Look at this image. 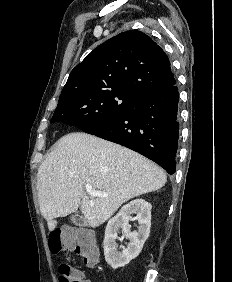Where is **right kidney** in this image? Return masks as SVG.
<instances>
[{"instance_id": "obj_1", "label": "right kidney", "mask_w": 232, "mask_h": 282, "mask_svg": "<svg viewBox=\"0 0 232 282\" xmlns=\"http://www.w3.org/2000/svg\"><path fill=\"white\" fill-rule=\"evenodd\" d=\"M151 208V204L144 199H135L124 205L117 215L108 221L103 241L104 255L106 262L113 269L124 267L141 252L150 233ZM133 214H136L139 223L138 231H131L129 228L128 222ZM120 229L129 239L127 247H123L122 251H118L116 243Z\"/></svg>"}]
</instances>
